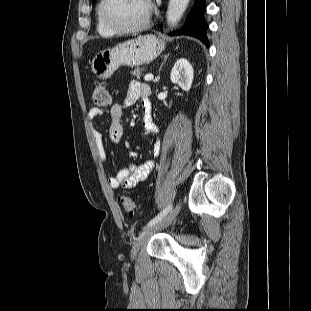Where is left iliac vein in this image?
<instances>
[{"label": "left iliac vein", "mask_w": 311, "mask_h": 311, "mask_svg": "<svg viewBox=\"0 0 311 311\" xmlns=\"http://www.w3.org/2000/svg\"><path fill=\"white\" fill-rule=\"evenodd\" d=\"M181 209V203H177V205L170 211V213L161 219L160 221L156 222L152 226L147 227L139 236L138 240L134 243L131 251L132 257H136L137 253L139 252L140 248L143 244L157 231L165 229L168 227L173 220L176 218L178 213Z\"/></svg>", "instance_id": "1"}]
</instances>
